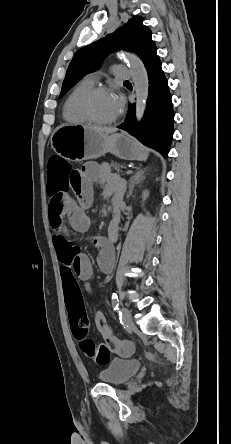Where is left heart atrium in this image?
Listing matches in <instances>:
<instances>
[{
    "instance_id": "left-heart-atrium-1",
    "label": "left heart atrium",
    "mask_w": 231,
    "mask_h": 444,
    "mask_svg": "<svg viewBox=\"0 0 231 444\" xmlns=\"http://www.w3.org/2000/svg\"><path fill=\"white\" fill-rule=\"evenodd\" d=\"M113 96V100H114V104H115V106H116V109H117V111L119 112L121 109H122V106H123V100H122V98L119 96V95H117V94H114V95H112Z\"/></svg>"
}]
</instances>
